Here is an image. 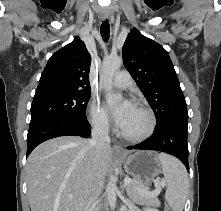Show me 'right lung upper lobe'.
Instances as JSON below:
<instances>
[{
    "label": "right lung upper lobe",
    "mask_w": 221,
    "mask_h": 211,
    "mask_svg": "<svg viewBox=\"0 0 221 211\" xmlns=\"http://www.w3.org/2000/svg\"><path fill=\"white\" fill-rule=\"evenodd\" d=\"M91 56L79 37L49 59L36 92L44 90L89 91Z\"/></svg>",
    "instance_id": "right-lung-upper-lobe-1"
}]
</instances>
